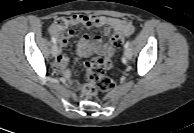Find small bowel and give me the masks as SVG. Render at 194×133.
I'll return each mask as SVG.
<instances>
[{"label":"small bowel","instance_id":"1","mask_svg":"<svg viewBox=\"0 0 194 133\" xmlns=\"http://www.w3.org/2000/svg\"><path fill=\"white\" fill-rule=\"evenodd\" d=\"M69 25L81 24L86 28L97 27L102 29L104 35H109L111 31L116 33H123L130 35L134 31L132 23L125 19L102 16V15H85L74 14L67 18ZM50 32L56 37L61 47H66L68 40L73 36V31L68 30L66 32H60L52 25ZM78 52L82 56H88L91 52L101 54L104 56L103 66L106 69L111 68V57L114 53V46L111 42L102 43L100 36H95L91 40L88 35H83L78 43ZM68 58L66 55H61L55 62V65L60 69L66 78H70V72L67 69ZM73 87H77V83L71 81Z\"/></svg>","mask_w":194,"mask_h":133}]
</instances>
